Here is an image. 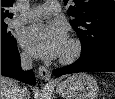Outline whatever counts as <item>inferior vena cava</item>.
I'll list each match as a JSON object with an SVG mask.
<instances>
[{
    "label": "inferior vena cava",
    "instance_id": "602c4592",
    "mask_svg": "<svg viewBox=\"0 0 115 99\" xmlns=\"http://www.w3.org/2000/svg\"><path fill=\"white\" fill-rule=\"evenodd\" d=\"M21 67L23 70H29L32 68V59L26 54H21ZM24 94H25V89L18 88L17 94L13 98L23 99Z\"/></svg>",
    "mask_w": 115,
    "mask_h": 99
}]
</instances>
